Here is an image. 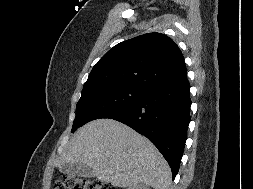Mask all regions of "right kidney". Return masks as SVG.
<instances>
[{"instance_id":"1","label":"right kidney","mask_w":253,"mask_h":189,"mask_svg":"<svg viewBox=\"0 0 253 189\" xmlns=\"http://www.w3.org/2000/svg\"><path fill=\"white\" fill-rule=\"evenodd\" d=\"M128 189H149V188H147L146 186H144V185H133V186H131V187H129Z\"/></svg>"}]
</instances>
